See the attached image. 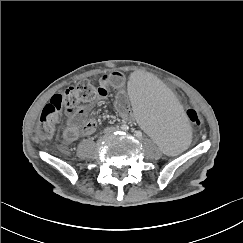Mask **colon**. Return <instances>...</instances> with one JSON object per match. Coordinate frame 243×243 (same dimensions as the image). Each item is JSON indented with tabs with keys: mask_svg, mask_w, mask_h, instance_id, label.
<instances>
[{
	"mask_svg": "<svg viewBox=\"0 0 243 243\" xmlns=\"http://www.w3.org/2000/svg\"><path fill=\"white\" fill-rule=\"evenodd\" d=\"M97 88L91 82L83 80L65 91L55 94L41 112L36 127L37 136L44 140L51 138L55 131V124L59 113L62 110H76L83 104L91 103L98 99L96 96ZM185 111L194 127L202 124L203 118L198 109L187 106Z\"/></svg>",
	"mask_w": 243,
	"mask_h": 243,
	"instance_id": "1",
	"label": "colon"
}]
</instances>
